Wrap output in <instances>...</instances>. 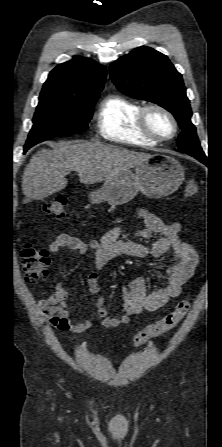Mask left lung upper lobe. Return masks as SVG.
<instances>
[{"label":"left lung upper lobe","mask_w":222,"mask_h":447,"mask_svg":"<svg viewBox=\"0 0 222 447\" xmlns=\"http://www.w3.org/2000/svg\"><path fill=\"white\" fill-rule=\"evenodd\" d=\"M110 77L124 94L160 105L171 112L182 132L178 147L192 156L206 157L191 123V107L181 74L164 54L139 47L110 66Z\"/></svg>","instance_id":"left-lung-upper-lobe-1"}]
</instances>
